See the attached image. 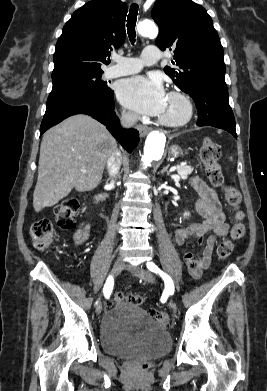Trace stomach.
I'll list each match as a JSON object with an SVG mask.
<instances>
[{"label": "stomach", "instance_id": "obj_1", "mask_svg": "<svg viewBox=\"0 0 267 391\" xmlns=\"http://www.w3.org/2000/svg\"><path fill=\"white\" fill-rule=\"evenodd\" d=\"M169 154L172 157H178L183 154V150L179 146H172L170 148Z\"/></svg>", "mask_w": 267, "mask_h": 391}]
</instances>
